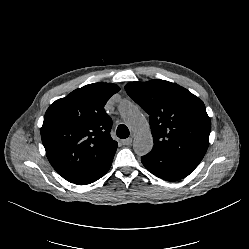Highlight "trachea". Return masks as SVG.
<instances>
[{
	"mask_svg": "<svg viewBox=\"0 0 249 249\" xmlns=\"http://www.w3.org/2000/svg\"><path fill=\"white\" fill-rule=\"evenodd\" d=\"M130 132L127 128L126 125L124 124H120L118 127H117V136L121 139H125L129 136Z\"/></svg>",
	"mask_w": 249,
	"mask_h": 249,
	"instance_id": "1",
	"label": "trachea"
}]
</instances>
